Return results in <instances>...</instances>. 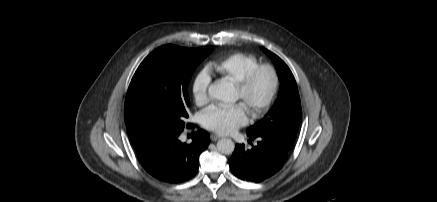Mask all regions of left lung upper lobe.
<instances>
[{
	"mask_svg": "<svg viewBox=\"0 0 437 202\" xmlns=\"http://www.w3.org/2000/svg\"><path fill=\"white\" fill-rule=\"evenodd\" d=\"M262 50L273 60L280 79L278 97L273 107L263 119L250 126L247 133L272 138L290 149L301 118V103L294 76L285 62L274 53L262 47Z\"/></svg>",
	"mask_w": 437,
	"mask_h": 202,
	"instance_id": "1",
	"label": "left lung upper lobe"
}]
</instances>
